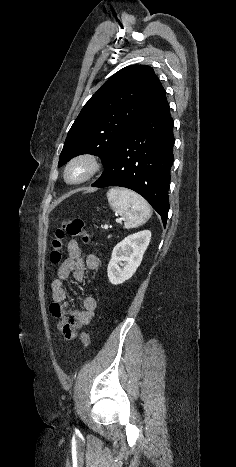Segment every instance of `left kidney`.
<instances>
[{
	"label": "left kidney",
	"instance_id": "1",
	"mask_svg": "<svg viewBox=\"0 0 236 467\" xmlns=\"http://www.w3.org/2000/svg\"><path fill=\"white\" fill-rule=\"evenodd\" d=\"M150 239L151 232L144 230L127 236L113 248L107 268L111 284H122L133 276L141 264Z\"/></svg>",
	"mask_w": 236,
	"mask_h": 467
}]
</instances>
